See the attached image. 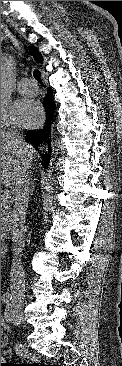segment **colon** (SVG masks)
Here are the masks:
<instances>
[{
    "label": "colon",
    "instance_id": "5ec220e1",
    "mask_svg": "<svg viewBox=\"0 0 122 366\" xmlns=\"http://www.w3.org/2000/svg\"><path fill=\"white\" fill-rule=\"evenodd\" d=\"M6 345V339L5 336L1 332V348L5 347Z\"/></svg>",
    "mask_w": 122,
    "mask_h": 366
}]
</instances>
